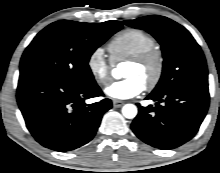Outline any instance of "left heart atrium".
Instances as JSON below:
<instances>
[{"instance_id":"left-heart-atrium-1","label":"left heart atrium","mask_w":220,"mask_h":173,"mask_svg":"<svg viewBox=\"0 0 220 173\" xmlns=\"http://www.w3.org/2000/svg\"><path fill=\"white\" fill-rule=\"evenodd\" d=\"M143 82L136 77H128L121 81L111 83L105 89L108 97L116 100H125L133 98L144 90Z\"/></svg>"}]
</instances>
